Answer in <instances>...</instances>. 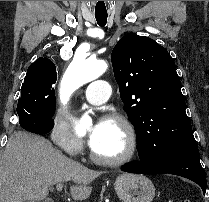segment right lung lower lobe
Wrapping results in <instances>:
<instances>
[{"instance_id":"right-lung-lower-lobe-1","label":"right lung lower lobe","mask_w":209,"mask_h":202,"mask_svg":"<svg viewBox=\"0 0 209 202\" xmlns=\"http://www.w3.org/2000/svg\"><path fill=\"white\" fill-rule=\"evenodd\" d=\"M19 123L21 127L25 130L36 133V134H46L48 133L54 126V120H37L34 118H24L19 119Z\"/></svg>"}]
</instances>
